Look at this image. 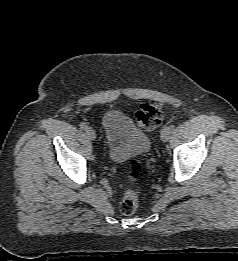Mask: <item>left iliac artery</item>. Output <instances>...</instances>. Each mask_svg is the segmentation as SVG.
I'll return each mask as SVG.
<instances>
[{
  "mask_svg": "<svg viewBox=\"0 0 238 261\" xmlns=\"http://www.w3.org/2000/svg\"><path fill=\"white\" fill-rule=\"evenodd\" d=\"M169 128L171 131H173L175 129V125H170Z\"/></svg>",
  "mask_w": 238,
  "mask_h": 261,
  "instance_id": "44dca946",
  "label": "left iliac artery"
}]
</instances>
